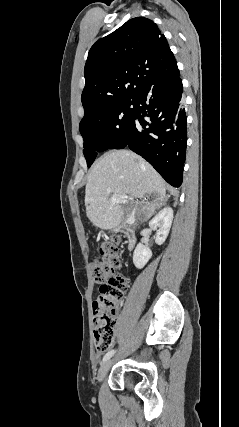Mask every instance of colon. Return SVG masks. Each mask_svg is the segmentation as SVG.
<instances>
[{"instance_id":"1","label":"colon","mask_w":239,"mask_h":427,"mask_svg":"<svg viewBox=\"0 0 239 427\" xmlns=\"http://www.w3.org/2000/svg\"><path fill=\"white\" fill-rule=\"evenodd\" d=\"M120 237L112 236L98 247L99 258L91 262V274L98 295L93 302L94 337L96 349L108 350L114 340L117 305L127 288V280L118 272L120 266Z\"/></svg>"}]
</instances>
